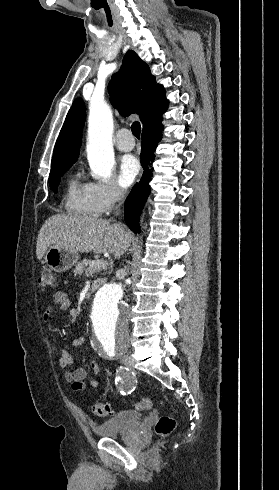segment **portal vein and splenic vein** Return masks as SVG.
<instances>
[{
	"label": "portal vein and splenic vein",
	"instance_id": "18ae733b",
	"mask_svg": "<svg viewBox=\"0 0 279 490\" xmlns=\"http://www.w3.org/2000/svg\"><path fill=\"white\" fill-rule=\"evenodd\" d=\"M100 264H104L103 260H97V262H92V266H100Z\"/></svg>",
	"mask_w": 279,
	"mask_h": 490
}]
</instances>
